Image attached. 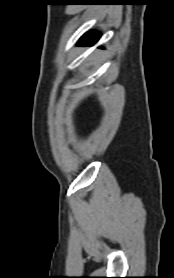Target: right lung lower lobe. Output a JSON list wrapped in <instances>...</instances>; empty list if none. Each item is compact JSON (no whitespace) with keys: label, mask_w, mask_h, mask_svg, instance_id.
Masks as SVG:
<instances>
[{"label":"right lung lower lobe","mask_w":174,"mask_h":278,"mask_svg":"<svg viewBox=\"0 0 174 278\" xmlns=\"http://www.w3.org/2000/svg\"><path fill=\"white\" fill-rule=\"evenodd\" d=\"M99 34L91 31L87 34H85L81 39H80V45H92L97 42L99 39Z\"/></svg>","instance_id":"right-lung-lower-lobe-1"}]
</instances>
